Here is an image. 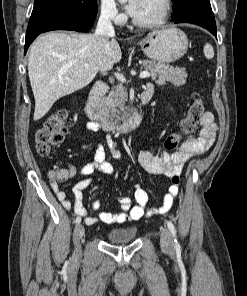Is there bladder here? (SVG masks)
I'll return each instance as SVG.
<instances>
[{"label":"bladder","mask_w":247,"mask_h":296,"mask_svg":"<svg viewBox=\"0 0 247 296\" xmlns=\"http://www.w3.org/2000/svg\"><path fill=\"white\" fill-rule=\"evenodd\" d=\"M137 233L136 227L113 228L108 233L110 243H128L134 240Z\"/></svg>","instance_id":"1"}]
</instances>
